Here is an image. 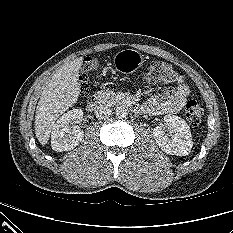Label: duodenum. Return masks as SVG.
<instances>
[{
    "label": "duodenum",
    "instance_id": "1",
    "mask_svg": "<svg viewBox=\"0 0 233 233\" xmlns=\"http://www.w3.org/2000/svg\"><path fill=\"white\" fill-rule=\"evenodd\" d=\"M99 98L96 95L91 96L87 100L86 108L88 111H94L99 106ZM124 104L131 109L134 113H139L142 111V108L137 106L131 101H124Z\"/></svg>",
    "mask_w": 233,
    "mask_h": 233
}]
</instances>
